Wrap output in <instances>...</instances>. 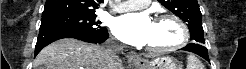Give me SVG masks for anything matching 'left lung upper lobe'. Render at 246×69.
I'll return each mask as SVG.
<instances>
[{"label": "left lung upper lobe", "mask_w": 246, "mask_h": 69, "mask_svg": "<svg viewBox=\"0 0 246 69\" xmlns=\"http://www.w3.org/2000/svg\"><path fill=\"white\" fill-rule=\"evenodd\" d=\"M189 27L193 43L205 44L201 12L197 0H158Z\"/></svg>", "instance_id": "left-lung-upper-lobe-1"}]
</instances>
